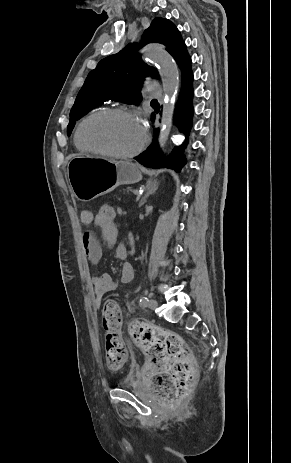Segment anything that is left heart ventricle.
Wrapping results in <instances>:
<instances>
[{"label": "left heart ventricle", "instance_id": "left-heart-ventricle-1", "mask_svg": "<svg viewBox=\"0 0 291 463\" xmlns=\"http://www.w3.org/2000/svg\"><path fill=\"white\" fill-rule=\"evenodd\" d=\"M142 134L138 122L121 115L94 118L83 130L84 139L92 146L118 153L134 150L141 142Z\"/></svg>", "mask_w": 291, "mask_h": 463}]
</instances>
